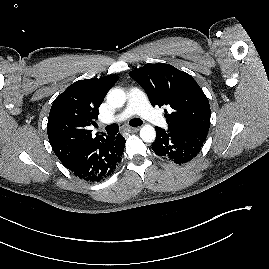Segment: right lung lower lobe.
Listing matches in <instances>:
<instances>
[{"label":"right lung lower lobe","instance_id":"1","mask_svg":"<svg viewBox=\"0 0 269 269\" xmlns=\"http://www.w3.org/2000/svg\"><path fill=\"white\" fill-rule=\"evenodd\" d=\"M124 147L125 138L120 134L106 137L84 149L64 166L81 179L99 182L114 172Z\"/></svg>","mask_w":269,"mask_h":269}]
</instances>
